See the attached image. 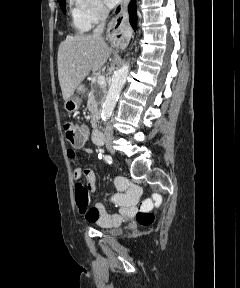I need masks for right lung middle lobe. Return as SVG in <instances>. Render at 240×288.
<instances>
[{"label": "right lung middle lobe", "mask_w": 240, "mask_h": 288, "mask_svg": "<svg viewBox=\"0 0 240 288\" xmlns=\"http://www.w3.org/2000/svg\"><path fill=\"white\" fill-rule=\"evenodd\" d=\"M58 2L60 3L62 11L65 13V0H58Z\"/></svg>", "instance_id": "obj_1"}]
</instances>
